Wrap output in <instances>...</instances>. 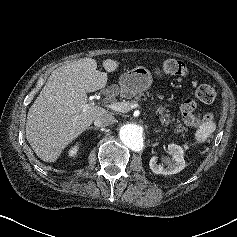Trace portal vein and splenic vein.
Listing matches in <instances>:
<instances>
[{
    "instance_id": "portal-vein-and-splenic-vein-1",
    "label": "portal vein and splenic vein",
    "mask_w": 237,
    "mask_h": 237,
    "mask_svg": "<svg viewBox=\"0 0 237 237\" xmlns=\"http://www.w3.org/2000/svg\"><path fill=\"white\" fill-rule=\"evenodd\" d=\"M106 107H108L111 110L126 113L130 111L131 109L139 108L140 106L138 104H129L124 102H116L108 104Z\"/></svg>"
}]
</instances>
